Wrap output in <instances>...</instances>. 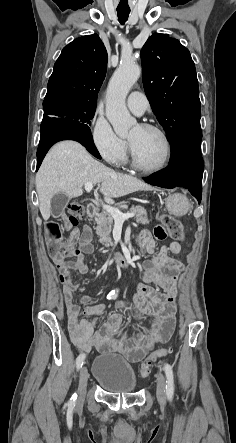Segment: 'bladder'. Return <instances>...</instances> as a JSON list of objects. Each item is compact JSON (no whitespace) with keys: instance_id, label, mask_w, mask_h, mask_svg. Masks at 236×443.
<instances>
[{"instance_id":"bladder-1","label":"bladder","mask_w":236,"mask_h":443,"mask_svg":"<svg viewBox=\"0 0 236 443\" xmlns=\"http://www.w3.org/2000/svg\"><path fill=\"white\" fill-rule=\"evenodd\" d=\"M93 375L97 383L109 393L130 394L138 384L129 363L114 355L99 356L94 363Z\"/></svg>"}]
</instances>
